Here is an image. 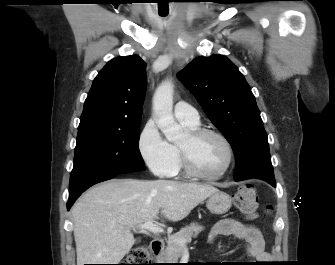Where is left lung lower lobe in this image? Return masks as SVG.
Returning a JSON list of instances; mask_svg holds the SVG:
<instances>
[{
    "mask_svg": "<svg viewBox=\"0 0 335 265\" xmlns=\"http://www.w3.org/2000/svg\"><path fill=\"white\" fill-rule=\"evenodd\" d=\"M254 178H258L261 180H264L266 182H268L269 184H271L273 187H275V178L274 179H269V178H261V177H254ZM236 181H239V179L235 178Z\"/></svg>",
    "mask_w": 335,
    "mask_h": 265,
    "instance_id": "1",
    "label": "left lung lower lobe"
}]
</instances>
